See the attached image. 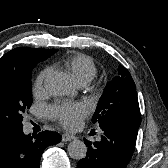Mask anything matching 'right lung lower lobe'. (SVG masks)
I'll list each match as a JSON object with an SVG mask.
<instances>
[{
	"label": "right lung lower lobe",
	"instance_id": "98d812e1",
	"mask_svg": "<svg viewBox=\"0 0 168 168\" xmlns=\"http://www.w3.org/2000/svg\"><path fill=\"white\" fill-rule=\"evenodd\" d=\"M60 140L50 131L25 135L22 126L0 132V168H39L44 149Z\"/></svg>",
	"mask_w": 168,
	"mask_h": 168
}]
</instances>
